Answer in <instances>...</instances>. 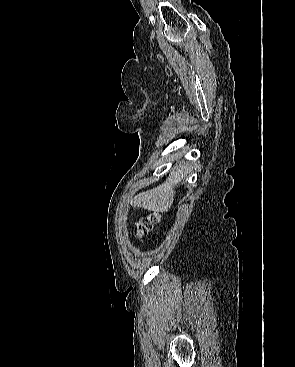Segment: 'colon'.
Returning a JSON list of instances; mask_svg holds the SVG:
<instances>
[{
    "label": "colon",
    "instance_id": "1",
    "mask_svg": "<svg viewBox=\"0 0 295 367\" xmlns=\"http://www.w3.org/2000/svg\"><path fill=\"white\" fill-rule=\"evenodd\" d=\"M159 221V216L157 214H152L146 218H142L138 222V236H144L149 234L154 225Z\"/></svg>",
    "mask_w": 295,
    "mask_h": 367
}]
</instances>
